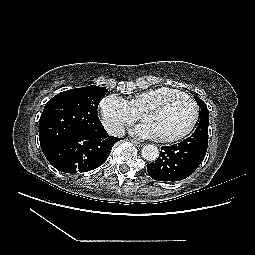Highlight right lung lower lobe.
<instances>
[{"mask_svg":"<svg viewBox=\"0 0 255 255\" xmlns=\"http://www.w3.org/2000/svg\"><path fill=\"white\" fill-rule=\"evenodd\" d=\"M120 138L105 131L89 133L76 131L60 141L45 154L50 164L65 173H81L98 168L108 158Z\"/></svg>","mask_w":255,"mask_h":255,"instance_id":"obj_1","label":"right lung lower lobe"}]
</instances>
